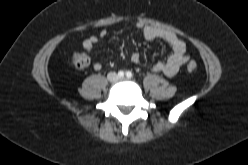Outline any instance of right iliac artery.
Listing matches in <instances>:
<instances>
[{
  "instance_id": "1",
  "label": "right iliac artery",
  "mask_w": 248,
  "mask_h": 165,
  "mask_svg": "<svg viewBox=\"0 0 248 165\" xmlns=\"http://www.w3.org/2000/svg\"><path fill=\"white\" fill-rule=\"evenodd\" d=\"M118 76H119V77H123V76H124V72H123V71H119V72H118Z\"/></svg>"
}]
</instances>
